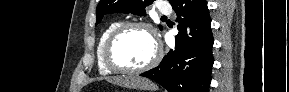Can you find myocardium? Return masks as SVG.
Returning a JSON list of instances; mask_svg holds the SVG:
<instances>
[{"mask_svg":"<svg viewBox=\"0 0 289 92\" xmlns=\"http://www.w3.org/2000/svg\"><path fill=\"white\" fill-rule=\"evenodd\" d=\"M132 28H142L147 30L155 44V52L152 57V59L146 63L145 65L137 68H131L124 65L119 64L115 59L113 55L114 47L119 40V38L129 29ZM162 56V46L161 43L157 37V34L154 30V28L147 22L144 21H128L121 23L118 27H116L112 33L109 35L103 51V58L106 66L112 70L113 72L117 73H124V74H138L145 72L147 70L152 69L155 67L158 62L160 61Z\"/></svg>","mask_w":289,"mask_h":92,"instance_id":"obj_1","label":"myocardium"}]
</instances>
